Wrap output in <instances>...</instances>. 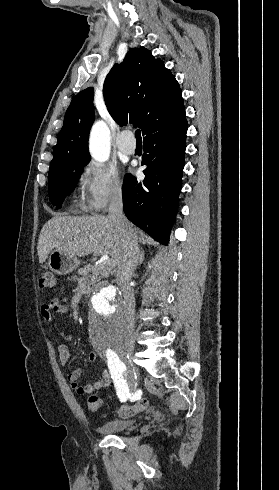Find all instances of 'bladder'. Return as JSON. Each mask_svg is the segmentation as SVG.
<instances>
[{"label":"bladder","instance_id":"bladder-1","mask_svg":"<svg viewBox=\"0 0 279 490\" xmlns=\"http://www.w3.org/2000/svg\"><path fill=\"white\" fill-rule=\"evenodd\" d=\"M135 424V418L113 419L104 421L98 427V430L109 435H120L128 431Z\"/></svg>","mask_w":279,"mask_h":490}]
</instances>
